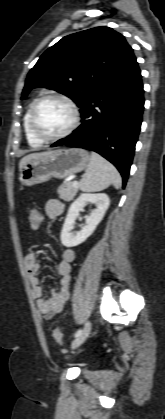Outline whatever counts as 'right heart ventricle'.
<instances>
[{
    "mask_svg": "<svg viewBox=\"0 0 165 419\" xmlns=\"http://www.w3.org/2000/svg\"><path fill=\"white\" fill-rule=\"evenodd\" d=\"M35 101L36 100H33L32 102H30V104L28 105V107L26 109V112H25L24 117H23V128H24V133H25V137H26V140H27L28 144L32 147H39V146L42 145L43 142L38 140L33 135V133L31 132V129H30V124H29L30 110H31V107H32V105Z\"/></svg>",
    "mask_w": 165,
    "mask_h": 419,
    "instance_id": "right-heart-ventricle-1",
    "label": "right heart ventricle"
}]
</instances>
